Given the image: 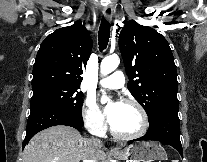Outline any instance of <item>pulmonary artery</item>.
<instances>
[{
    "label": "pulmonary artery",
    "instance_id": "e3ab8cb5",
    "mask_svg": "<svg viewBox=\"0 0 207 162\" xmlns=\"http://www.w3.org/2000/svg\"><path fill=\"white\" fill-rule=\"evenodd\" d=\"M99 83L109 89H120L124 86V75L121 71H115Z\"/></svg>",
    "mask_w": 207,
    "mask_h": 162
}]
</instances>
